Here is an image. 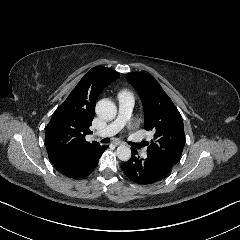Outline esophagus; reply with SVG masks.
Here are the masks:
<instances>
[{"label":"esophagus","instance_id":"1","mask_svg":"<svg viewBox=\"0 0 240 240\" xmlns=\"http://www.w3.org/2000/svg\"><path fill=\"white\" fill-rule=\"evenodd\" d=\"M115 144L120 145V144H124V143L122 141H117Z\"/></svg>","mask_w":240,"mask_h":240}]
</instances>
